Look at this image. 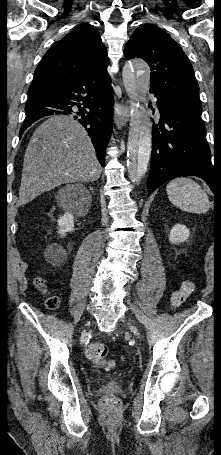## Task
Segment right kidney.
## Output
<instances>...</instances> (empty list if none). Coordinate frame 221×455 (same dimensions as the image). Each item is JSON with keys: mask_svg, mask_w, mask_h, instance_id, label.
<instances>
[{"mask_svg": "<svg viewBox=\"0 0 221 455\" xmlns=\"http://www.w3.org/2000/svg\"><path fill=\"white\" fill-rule=\"evenodd\" d=\"M59 230L61 236H65L67 232H73L74 229V216L70 212H66L58 219ZM46 255L53 261H62L66 257V251L57 244H52L46 250Z\"/></svg>", "mask_w": 221, "mask_h": 455, "instance_id": "1", "label": "right kidney"}]
</instances>
